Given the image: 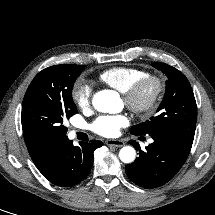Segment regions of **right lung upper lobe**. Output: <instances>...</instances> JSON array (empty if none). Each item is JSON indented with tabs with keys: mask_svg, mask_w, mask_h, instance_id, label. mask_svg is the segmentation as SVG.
I'll return each instance as SVG.
<instances>
[{
	"mask_svg": "<svg viewBox=\"0 0 215 215\" xmlns=\"http://www.w3.org/2000/svg\"><path fill=\"white\" fill-rule=\"evenodd\" d=\"M29 154L39 170L45 168L48 159L60 143L42 144L24 135Z\"/></svg>",
	"mask_w": 215,
	"mask_h": 215,
	"instance_id": "cb5924a9",
	"label": "right lung upper lobe"
}]
</instances>
